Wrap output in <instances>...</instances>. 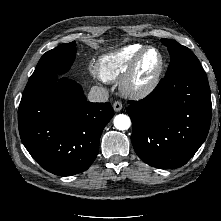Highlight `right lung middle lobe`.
<instances>
[{
  "mask_svg": "<svg viewBox=\"0 0 221 221\" xmlns=\"http://www.w3.org/2000/svg\"><path fill=\"white\" fill-rule=\"evenodd\" d=\"M75 54V42L59 45L56 48L46 52L41 57L32 75H37L44 72L63 74L70 69L75 59Z\"/></svg>",
  "mask_w": 221,
  "mask_h": 221,
  "instance_id": "1",
  "label": "right lung middle lobe"
}]
</instances>
